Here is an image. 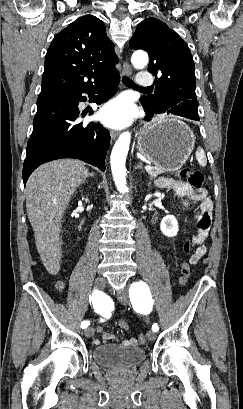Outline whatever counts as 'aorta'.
<instances>
[{
    "mask_svg": "<svg viewBox=\"0 0 243 409\" xmlns=\"http://www.w3.org/2000/svg\"><path fill=\"white\" fill-rule=\"evenodd\" d=\"M131 62L137 69L144 68L148 64V55L145 52L138 51L132 55ZM131 142V134L129 132L122 133L116 141L111 152V170L114 182L117 189L121 193H127L126 186V157L129 151Z\"/></svg>",
    "mask_w": 243,
    "mask_h": 409,
    "instance_id": "aorta-1",
    "label": "aorta"
}]
</instances>
